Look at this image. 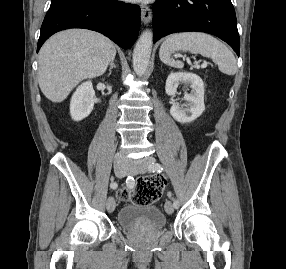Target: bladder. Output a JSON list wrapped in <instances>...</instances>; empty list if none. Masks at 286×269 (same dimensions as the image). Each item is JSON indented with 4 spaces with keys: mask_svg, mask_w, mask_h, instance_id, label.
I'll return each instance as SVG.
<instances>
[{
    "mask_svg": "<svg viewBox=\"0 0 286 269\" xmlns=\"http://www.w3.org/2000/svg\"><path fill=\"white\" fill-rule=\"evenodd\" d=\"M117 223L128 231H157L165 228L167 219L156 206L129 203L118 211Z\"/></svg>",
    "mask_w": 286,
    "mask_h": 269,
    "instance_id": "31cf9c89",
    "label": "bladder"
}]
</instances>
